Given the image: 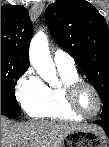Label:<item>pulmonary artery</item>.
Instances as JSON below:
<instances>
[{
	"label": "pulmonary artery",
	"instance_id": "obj_1",
	"mask_svg": "<svg viewBox=\"0 0 109 147\" xmlns=\"http://www.w3.org/2000/svg\"><path fill=\"white\" fill-rule=\"evenodd\" d=\"M53 60L56 67L59 69H66V70L75 69V62L72 56L61 49H56L54 51Z\"/></svg>",
	"mask_w": 109,
	"mask_h": 147
}]
</instances>
